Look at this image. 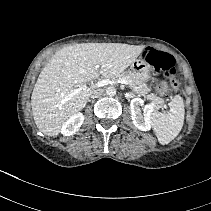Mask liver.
Instances as JSON below:
<instances>
[{
	"mask_svg": "<svg viewBox=\"0 0 211 211\" xmlns=\"http://www.w3.org/2000/svg\"><path fill=\"white\" fill-rule=\"evenodd\" d=\"M143 49L123 43H81L57 51L41 71L32 92L37 128L45 135L57 136L62 125L85 107L94 91L76 90L100 75L108 79L124 72Z\"/></svg>",
	"mask_w": 211,
	"mask_h": 211,
	"instance_id": "obj_1",
	"label": "liver"
}]
</instances>
